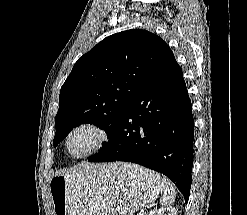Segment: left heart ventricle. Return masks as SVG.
I'll list each match as a JSON object with an SVG mask.
<instances>
[{
	"instance_id": "left-heart-ventricle-1",
	"label": "left heart ventricle",
	"mask_w": 247,
	"mask_h": 215,
	"mask_svg": "<svg viewBox=\"0 0 247 215\" xmlns=\"http://www.w3.org/2000/svg\"><path fill=\"white\" fill-rule=\"evenodd\" d=\"M94 141V134L88 130L77 132L70 140V150L74 154H82L86 152Z\"/></svg>"
}]
</instances>
